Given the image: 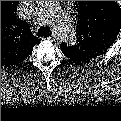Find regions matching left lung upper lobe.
<instances>
[{
	"instance_id": "5c2ea615",
	"label": "left lung upper lobe",
	"mask_w": 121,
	"mask_h": 121,
	"mask_svg": "<svg viewBox=\"0 0 121 121\" xmlns=\"http://www.w3.org/2000/svg\"><path fill=\"white\" fill-rule=\"evenodd\" d=\"M77 44H61L63 53L101 54L116 40L121 28V13L113 1H78Z\"/></svg>"
}]
</instances>
